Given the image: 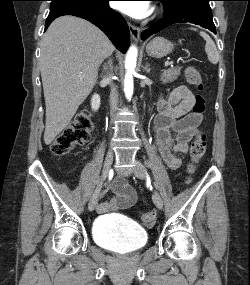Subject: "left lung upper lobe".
<instances>
[{"mask_svg": "<svg viewBox=\"0 0 250 285\" xmlns=\"http://www.w3.org/2000/svg\"><path fill=\"white\" fill-rule=\"evenodd\" d=\"M161 1L165 8V15L175 16L188 10H201L212 13L209 5L211 0H156Z\"/></svg>", "mask_w": 250, "mask_h": 285, "instance_id": "obj_1", "label": "left lung upper lobe"}]
</instances>
